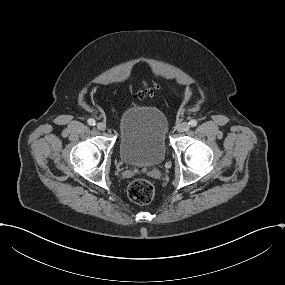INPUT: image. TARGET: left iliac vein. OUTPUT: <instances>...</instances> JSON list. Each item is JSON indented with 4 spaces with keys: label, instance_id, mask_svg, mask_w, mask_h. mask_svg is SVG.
I'll list each match as a JSON object with an SVG mask.
<instances>
[{
    "label": "left iliac vein",
    "instance_id": "obj_1",
    "mask_svg": "<svg viewBox=\"0 0 285 285\" xmlns=\"http://www.w3.org/2000/svg\"><path fill=\"white\" fill-rule=\"evenodd\" d=\"M189 128H190L189 124L187 122H183L179 125L178 132H180V133L186 132L189 130Z\"/></svg>",
    "mask_w": 285,
    "mask_h": 285
}]
</instances>
